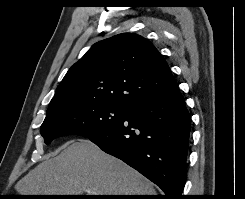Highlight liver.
Returning <instances> with one entry per match:
<instances>
[{"mask_svg":"<svg viewBox=\"0 0 245 199\" xmlns=\"http://www.w3.org/2000/svg\"><path fill=\"white\" fill-rule=\"evenodd\" d=\"M15 189L20 195H156L144 176L88 139L67 143L58 156L19 180Z\"/></svg>","mask_w":245,"mask_h":199,"instance_id":"6515ba94","label":"liver"}]
</instances>
